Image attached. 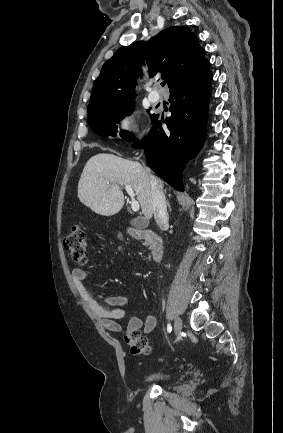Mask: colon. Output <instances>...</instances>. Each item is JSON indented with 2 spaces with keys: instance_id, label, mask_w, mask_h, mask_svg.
I'll return each instance as SVG.
<instances>
[{
  "instance_id": "1",
  "label": "colon",
  "mask_w": 283,
  "mask_h": 433,
  "mask_svg": "<svg viewBox=\"0 0 283 433\" xmlns=\"http://www.w3.org/2000/svg\"><path fill=\"white\" fill-rule=\"evenodd\" d=\"M64 245L74 262L79 265L87 264V237L80 225L71 228L64 239ZM124 339L133 355H147L151 351L148 339L139 331H127Z\"/></svg>"
}]
</instances>
